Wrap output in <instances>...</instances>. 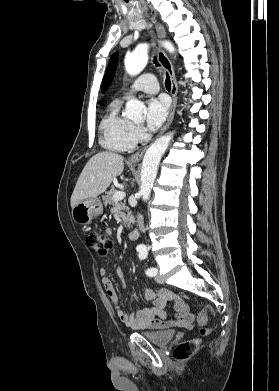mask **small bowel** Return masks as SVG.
<instances>
[{
  "label": "small bowel",
  "mask_w": 279,
  "mask_h": 391,
  "mask_svg": "<svg viewBox=\"0 0 279 391\" xmlns=\"http://www.w3.org/2000/svg\"><path fill=\"white\" fill-rule=\"evenodd\" d=\"M107 234L112 235V230L108 229ZM99 273L102 276L104 289L115 307L117 316L125 326L134 330L172 327L191 328L193 326L194 315L190 312L188 305L179 296L164 288L146 289L145 297L153 303L151 307L132 313L124 312L119 304L112 280L106 275V269L100 268ZM116 273L121 286L125 288V275L120 266L117 267ZM169 304H173L175 315L167 319L165 308Z\"/></svg>",
  "instance_id": "obj_1"
}]
</instances>
